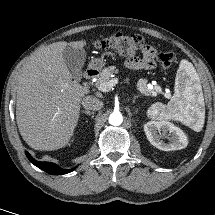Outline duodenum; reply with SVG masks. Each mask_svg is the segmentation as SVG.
Returning a JSON list of instances; mask_svg holds the SVG:
<instances>
[{
  "label": "duodenum",
  "instance_id": "1",
  "mask_svg": "<svg viewBox=\"0 0 215 215\" xmlns=\"http://www.w3.org/2000/svg\"><path fill=\"white\" fill-rule=\"evenodd\" d=\"M98 76V70L95 68H89L87 69L86 73H85V78L87 80H92L94 78H96Z\"/></svg>",
  "mask_w": 215,
  "mask_h": 215
}]
</instances>
